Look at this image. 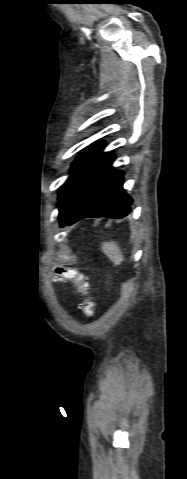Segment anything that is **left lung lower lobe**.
Wrapping results in <instances>:
<instances>
[{
	"mask_svg": "<svg viewBox=\"0 0 187 479\" xmlns=\"http://www.w3.org/2000/svg\"><path fill=\"white\" fill-rule=\"evenodd\" d=\"M114 156L103 155L75 180L59 205L60 226L86 217L123 218L132 198L123 189V172L111 166Z\"/></svg>",
	"mask_w": 187,
	"mask_h": 479,
	"instance_id": "obj_1",
	"label": "left lung lower lobe"
}]
</instances>
